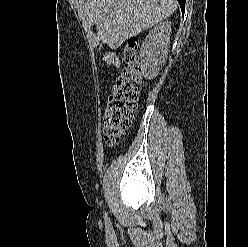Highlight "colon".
I'll return each instance as SVG.
<instances>
[{
    "label": "colon",
    "mask_w": 248,
    "mask_h": 247,
    "mask_svg": "<svg viewBox=\"0 0 248 247\" xmlns=\"http://www.w3.org/2000/svg\"><path fill=\"white\" fill-rule=\"evenodd\" d=\"M104 58L111 66L119 65V59L111 52H105ZM123 64L124 69L108 97L103 114V136L109 146H114L119 142L135 118L142 84V69L136 38L128 40L124 49Z\"/></svg>",
    "instance_id": "colon-1"
}]
</instances>
